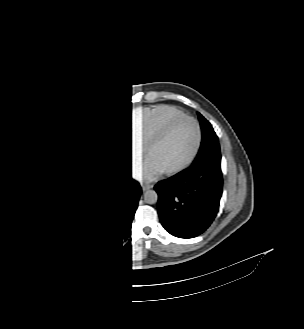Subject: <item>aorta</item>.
Returning a JSON list of instances; mask_svg holds the SVG:
<instances>
[{"label":"aorta","instance_id":"obj_1","mask_svg":"<svg viewBox=\"0 0 304 329\" xmlns=\"http://www.w3.org/2000/svg\"><path fill=\"white\" fill-rule=\"evenodd\" d=\"M144 200L148 204H155L158 200V194L154 190H147L144 193Z\"/></svg>","mask_w":304,"mask_h":329}]
</instances>
